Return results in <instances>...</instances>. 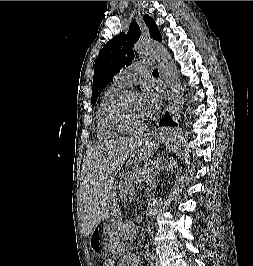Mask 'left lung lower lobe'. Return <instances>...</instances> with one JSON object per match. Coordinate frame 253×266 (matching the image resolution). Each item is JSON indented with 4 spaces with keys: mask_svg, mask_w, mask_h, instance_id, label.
<instances>
[{
    "mask_svg": "<svg viewBox=\"0 0 253 266\" xmlns=\"http://www.w3.org/2000/svg\"><path fill=\"white\" fill-rule=\"evenodd\" d=\"M159 124L164 127L177 126V124L173 121L168 112L165 113Z\"/></svg>",
    "mask_w": 253,
    "mask_h": 266,
    "instance_id": "obj_1",
    "label": "left lung lower lobe"
}]
</instances>
